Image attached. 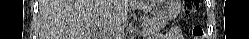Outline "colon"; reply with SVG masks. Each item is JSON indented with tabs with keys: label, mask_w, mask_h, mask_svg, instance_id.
Segmentation results:
<instances>
[{
	"label": "colon",
	"mask_w": 249,
	"mask_h": 39,
	"mask_svg": "<svg viewBox=\"0 0 249 39\" xmlns=\"http://www.w3.org/2000/svg\"><path fill=\"white\" fill-rule=\"evenodd\" d=\"M199 8V0H185L183 2V11L186 14L195 13ZM195 37H200L203 34L201 27H195L193 30Z\"/></svg>",
	"instance_id": "obj_1"
}]
</instances>
